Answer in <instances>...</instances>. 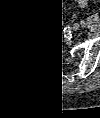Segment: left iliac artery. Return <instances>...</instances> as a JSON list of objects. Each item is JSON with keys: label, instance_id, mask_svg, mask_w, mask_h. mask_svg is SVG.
I'll return each instance as SVG.
<instances>
[{"label": "left iliac artery", "instance_id": "obj_1", "mask_svg": "<svg viewBox=\"0 0 100 118\" xmlns=\"http://www.w3.org/2000/svg\"><path fill=\"white\" fill-rule=\"evenodd\" d=\"M80 24H81L83 27H85V26L87 25V23H86L84 20H82V21L80 22Z\"/></svg>", "mask_w": 100, "mask_h": 118}]
</instances>
